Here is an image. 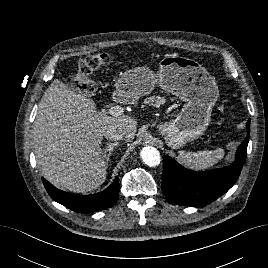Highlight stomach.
<instances>
[{
	"label": "stomach",
	"mask_w": 268,
	"mask_h": 268,
	"mask_svg": "<svg viewBox=\"0 0 268 268\" xmlns=\"http://www.w3.org/2000/svg\"><path fill=\"white\" fill-rule=\"evenodd\" d=\"M156 85L185 102L175 119L157 126L166 144L177 149L201 136L219 97L217 83L207 70L193 59L170 55L160 61L157 74L147 67H136L115 83L117 96L126 103L150 94Z\"/></svg>",
	"instance_id": "stomach-1"
}]
</instances>
